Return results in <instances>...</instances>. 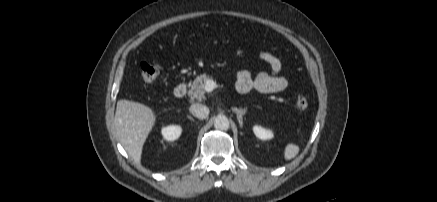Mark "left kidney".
Instances as JSON below:
<instances>
[{
	"label": "left kidney",
	"instance_id": "obj_1",
	"mask_svg": "<svg viewBox=\"0 0 437 202\" xmlns=\"http://www.w3.org/2000/svg\"><path fill=\"white\" fill-rule=\"evenodd\" d=\"M253 132L256 135V137L261 140H268L274 137V134L271 130L265 129L260 125H255L253 127Z\"/></svg>",
	"mask_w": 437,
	"mask_h": 202
}]
</instances>
